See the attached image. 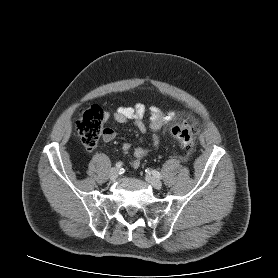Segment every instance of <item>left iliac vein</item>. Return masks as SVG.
I'll return each instance as SVG.
<instances>
[{
  "instance_id": "1",
  "label": "left iliac vein",
  "mask_w": 278,
  "mask_h": 278,
  "mask_svg": "<svg viewBox=\"0 0 278 278\" xmlns=\"http://www.w3.org/2000/svg\"><path fill=\"white\" fill-rule=\"evenodd\" d=\"M146 181L155 189L159 190L162 187L161 181L151 175H146Z\"/></svg>"
}]
</instances>
